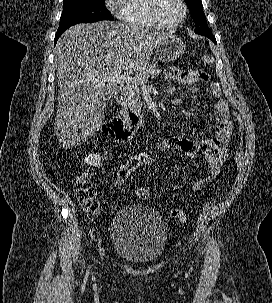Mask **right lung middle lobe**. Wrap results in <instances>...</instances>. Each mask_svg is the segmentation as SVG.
Masks as SVG:
<instances>
[{"mask_svg":"<svg viewBox=\"0 0 272 303\" xmlns=\"http://www.w3.org/2000/svg\"><path fill=\"white\" fill-rule=\"evenodd\" d=\"M57 33L78 23H92L100 20H113L104 0H64Z\"/></svg>","mask_w":272,"mask_h":303,"instance_id":"obj_1","label":"right lung middle lobe"}]
</instances>
